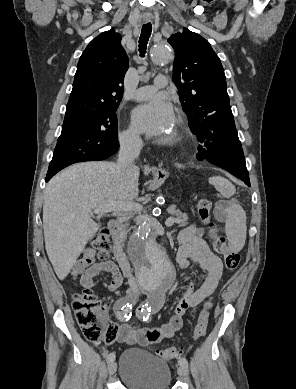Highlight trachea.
Listing matches in <instances>:
<instances>
[{"instance_id":"1","label":"trachea","mask_w":296,"mask_h":389,"mask_svg":"<svg viewBox=\"0 0 296 389\" xmlns=\"http://www.w3.org/2000/svg\"><path fill=\"white\" fill-rule=\"evenodd\" d=\"M151 32H152L151 23H147L142 26L141 35L139 38V52L141 57H144L146 53V48H147L149 38L151 36Z\"/></svg>"}]
</instances>
